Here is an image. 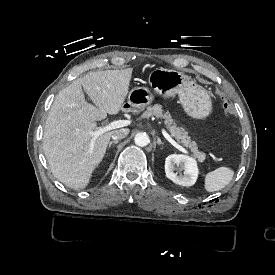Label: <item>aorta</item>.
Here are the masks:
<instances>
[{"label": "aorta", "mask_w": 275, "mask_h": 275, "mask_svg": "<svg viewBox=\"0 0 275 275\" xmlns=\"http://www.w3.org/2000/svg\"><path fill=\"white\" fill-rule=\"evenodd\" d=\"M134 142L139 147H146L149 144V137L146 133H137L134 137Z\"/></svg>", "instance_id": "aorta-1"}]
</instances>
